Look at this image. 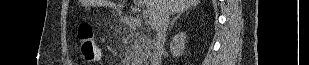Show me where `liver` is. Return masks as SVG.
<instances>
[{
  "label": "liver",
  "mask_w": 309,
  "mask_h": 65,
  "mask_svg": "<svg viewBox=\"0 0 309 65\" xmlns=\"http://www.w3.org/2000/svg\"><path fill=\"white\" fill-rule=\"evenodd\" d=\"M121 3H114L111 0H85L84 5L88 6H108L115 9L119 14L124 7L126 0H120ZM149 10V22L152 29L157 30L161 20L166 14L173 15L183 13L187 9L195 7L200 0H144L143 1Z\"/></svg>",
  "instance_id": "6515ba94"
}]
</instances>
